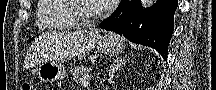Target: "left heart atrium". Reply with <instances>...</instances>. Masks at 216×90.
Segmentation results:
<instances>
[{"instance_id":"1","label":"left heart atrium","mask_w":216,"mask_h":90,"mask_svg":"<svg viewBox=\"0 0 216 90\" xmlns=\"http://www.w3.org/2000/svg\"><path fill=\"white\" fill-rule=\"evenodd\" d=\"M98 3H104L105 7H116L117 3H121L122 0H97Z\"/></svg>"}]
</instances>
